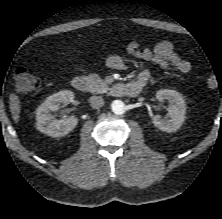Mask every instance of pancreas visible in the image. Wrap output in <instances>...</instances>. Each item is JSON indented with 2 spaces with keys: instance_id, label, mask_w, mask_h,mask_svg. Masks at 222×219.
Returning <instances> with one entry per match:
<instances>
[{
  "instance_id": "1",
  "label": "pancreas",
  "mask_w": 222,
  "mask_h": 219,
  "mask_svg": "<svg viewBox=\"0 0 222 219\" xmlns=\"http://www.w3.org/2000/svg\"><path fill=\"white\" fill-rule=\"evenodd\" d=\"M88 91L91 93H105L108 90L107 83L97 74H90L87 77Z\"/></svg>"
}]
</instances>
